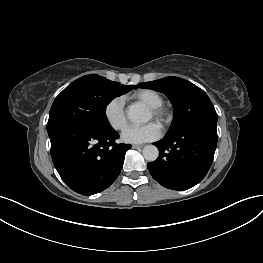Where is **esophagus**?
Instances as JSON below:
<instances>
[{
  "instance_id": "esophagus-1",
  "label": "esophagus",
  "mask_w": 263,
  "mask_h": 263,
  "mask_svg": "<svg viewBox=\"0 0 263 263\" xmlns=\"http://www.w3.org/2000/svg\"><path fill=\"white\" fill-rule=\"evenodd\" d=\"M133 149H141L143 148V145H132Z\"/></svg>"
}]
</instances>
